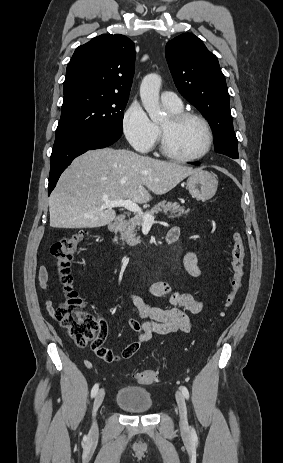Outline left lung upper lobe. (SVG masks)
I'll list each match as a JSON object with an SVG mask.
<instances>
[{
  "instance_id": "left-lung-upper-lobe-1",
  "label": "left lung upper lobe",
  "mask_w": 283,
  "mask_h": 463,
  "mask_svg": "<svg viewBox=\"0 0 283 463\" xmlns=\"http://www.w3.org/2000/svg\"><path fill=\"white\" fill-rule=\"evenodd\" d=\"M165 55L178 91L209 121L215 152L239 158L230 96L217 57L191 33L169 41Z\"/></svg>"
}]
</instances>
